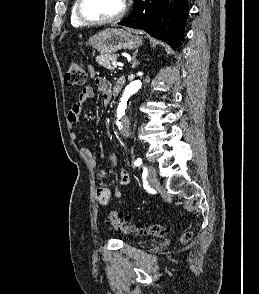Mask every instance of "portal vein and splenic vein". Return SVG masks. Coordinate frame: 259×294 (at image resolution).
Here are the masks:
<instances>
[{
  "label": "portal vein and splenic vein",
  "instance_id": "1",
  "mask_svg": "<svg viewBox=\"0 0 259 294\" xmlns=\"http://www.w3.org/2000/svg\"><path fill=\"white\" fill-rule=\"evenodd\" d=\"M112 65H113V67H117V66H120L121 63H119V62H117V61H113V62H112Z\"/></svg>",
  "mask_w": 259,
  "mask_h": 294
}]
</instances>
